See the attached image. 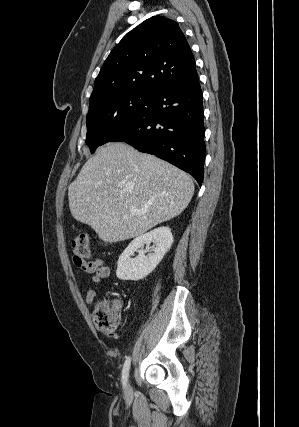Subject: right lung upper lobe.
<instances>
[{
    "label": "right lung upper lobe",
    "instance_id": "obj_1",
    "mask_svg": "<svg viewBox=\"0 0 299 427\" xmlns=\"http://www.w3.org/2000/svg\"><path fill=\"white\" fill-rule=\"evenodd\" d=\"M196 76L193 54L177 22L154 16L113 48L95 80L89 104L122 92L155 94Z\"/></svg>",
    "mask_w": 299,
    "mask_h": 427
}]
</instances>
